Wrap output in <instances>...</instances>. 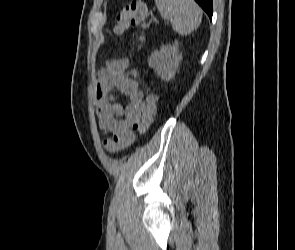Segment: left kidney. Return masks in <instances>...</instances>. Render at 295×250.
Wrapping results in <instances>:
<instances>
[{
    "mask_svg": "<svg viewBox=\"0 0 295 250\" xmlns=\"http://www.w3.org/2000/svg\"><path fill=\"white\" fill-rule=\"evenodd\" d=\"M181 60L182 54L179 53L178 42L175 41L173 45L165 46L152 53L148 64L162 80L168 82L174 78Z\"/></svg>",
    "mask_w": 295,
    "mask_h": 250,
    "instance_id": "left-kidney-1",
    "label": "left kidney"
}]
</instances>
